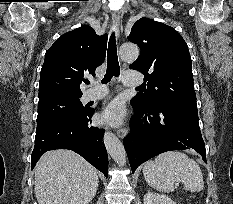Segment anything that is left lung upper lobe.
<instances>
[{
	"mask_svg": "<svg viewBox=\"0 0 233 204\" xmlns=\"http://www.w3.org/2000/svg\"><path fill=\"white\" fill-rule=\"evenodd\" d=\"M128 40L141 49L130 68L145 75L147 86L145 93H139L131 100L133 103L139 106L159 100L196 103L188 46L174 28L141 18L133 25Z\"/></svg>",
	"mask_w": 233,
	"mask_h": 204,
	"instance_id": "5c2ea615",
	"label": "left lung upper lobe"
}]
</instances>
